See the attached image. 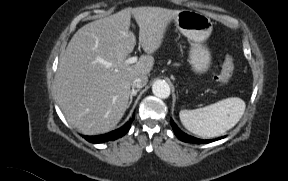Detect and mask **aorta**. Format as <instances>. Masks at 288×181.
Masks as SVG:
<instances>
[{"label":"aorta","mask_w":288,"mask_h":181,"mask_svg":"<svg viewBox=\"0 0 288 181\" xmlns=\"http://www.w3.org/2000/svg\"><path fill=\"white\" fill-rule=\"evenodd\" d=\"M152 92L155 96L166 99L170 95L169 84L164 80H156L152 85Z\"/></svg>","instance_id":"aorta-1"}]
</instances>
